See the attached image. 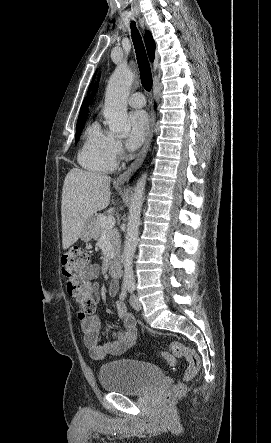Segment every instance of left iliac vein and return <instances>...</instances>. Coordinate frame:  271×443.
Wrapping results in <instances>:
<instances>
[{
    "label": "left iliac vein",
    "instance_id": "4c4485c4",
    "mask_svg": "<svg viewBox=\"0 0 271 443\" xmlns=\"http://www.w3.org/2000/svg\"><path fill=\"white\" fill-rule=\"evenodd\" d=\"M129 301H130V305H131V307H132L134 310H136V311H140V310L142 309V305H141V303H140L138 297H137L135 294H132V295L130 296Z\"/></svg>",
    "mask_w": 271,
    "mask_h": 443
}]
</instances>
